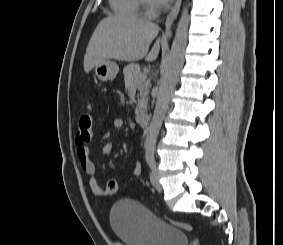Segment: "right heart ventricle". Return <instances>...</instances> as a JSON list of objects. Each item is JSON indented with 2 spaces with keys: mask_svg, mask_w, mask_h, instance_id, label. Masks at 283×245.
Wrapping results in <instances>:
<instances>
[{
  "mask_svg": "<svg viewBox=\"0 0 283 245\" xmlns=\"http://www.w3.org/2000/svg\"><path fill=\"white\" fill-rule=\"evenodd\" d=\"M115 13L126 16H138L141 10L140 0H109Z\"/></svg>",
  "mask_w": 283,
  "mask_h": 245,
  "instance_id": "e07e8e85",
  "label": "right heart ventricle"
}]
</instances>
